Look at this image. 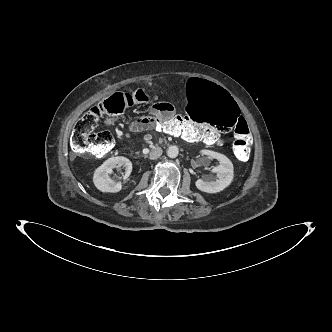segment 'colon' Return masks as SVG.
Wrapping results in <instances>:
<instances>
[{"label": "colon", "instance_id": "1", "mask_svg": "<svg viewBox=\"0 0 332 332\" xmlns=\"http://www.w3.org/2000/svg\"><path fill=\"white\" fill-rule=\"evenodd\" d=\"M130 94L118 92L106 97L76 122L71 136V148L75 154L100 158L110 152L114 146L113 135L107 130L97 131L96 128L105 115L124 114L134 104ZM184 98L188 117L176 114L173 120H163L158 115L154 123L156 131L169 135L193 134L195 140L217 144L219 141L215 135L197 126L217 134L227 133L234 128L233 153L240 161L248 159L250 130L246 121L240 119L238 102L228 90L205 78L195 77L186 83Z\"/></svg>", "mask_w": 332, "mask_h": 332}]
</instances>
